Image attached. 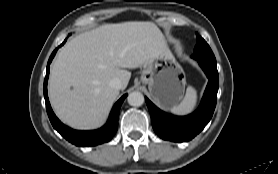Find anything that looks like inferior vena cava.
<instances>
[{"instance_id": "obj_1", "label": "inferior vena cava", "mask_w": 278, "mask_h": 174, "mask_svg": "<svg viewBox=\"0 0 278 174\" xmlns=\"http://www.w3.org/2000/svg\"><path fill=\"white\" fill-rule=\"evenodd\" d=\"M110 87L116 90H120L123 88V83L119 78H114L109 83Z\"/></svg>"}]
</instances>
